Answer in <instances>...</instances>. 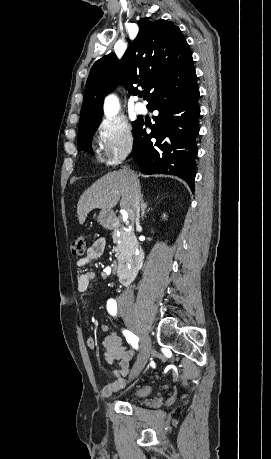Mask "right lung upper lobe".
Returning a JSON list of instances; mask_svg holds the SVG:
<instances>
[{
  "mask_svg": "<svg viewBox=\"0 0 271 459\" xmlns=\"http://www.w3.org/2000/svg\"><path fill=\"white\" fill-rule=\"evenodd\" d=\"M194 71L189 45L172 22L159 19L139 23V33L121 60L110 53L97 60L87 79L80 120L102 118L104 97L121 78L129 93L136 95L135 84L145 88L149 99L163 85Z\"/></svg>",
  "mask_w": 271,
  "mask_h": 459,
  "instance_id": "1",
  "label": "right lung upper lobe"
}]
</instances>
